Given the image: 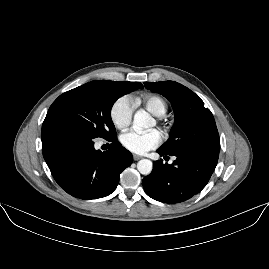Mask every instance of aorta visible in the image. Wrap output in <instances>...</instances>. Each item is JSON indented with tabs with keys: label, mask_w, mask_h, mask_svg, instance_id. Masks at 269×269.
<instances>
[{
	"label": "aorta",
	"mask_w": 269,
	"mask_h": 269,
	"mask_svg": "<svg viewBox=\"0 0 269 269\" xmlns=\"http://www.w3.org/2000/svg\"><path fill=\"white\" fill-rule=\"evenodd\" d=\"M153 127V120L145 111L137 112L133 117V129L137 133ZM152 162L149 159H141L137 163V170L142 175H149L152 171Z\"/></svg>",
	"instance_id": "aorta-1"
}]
</instances>
